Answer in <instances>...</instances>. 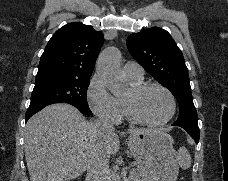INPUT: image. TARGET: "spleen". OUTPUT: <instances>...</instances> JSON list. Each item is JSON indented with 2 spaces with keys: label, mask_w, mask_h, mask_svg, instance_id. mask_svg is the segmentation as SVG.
I'll use <instances>...</instances> for the list:
<instances>
[{
  "label": "spleen",
  "mask_w": 228,
  "mask_h": 181,
  "mask_svg": "<svg viewBox=\"0 0 228 181\" xmlns=\"http://www.w3.org/2000/svg\"><path fill=\"white\" fill-rule=\"evenodd\" d=\"M177 161H179L181 169H189L191 165V155L185 147H180L177 153Z\"/></svg>",
  "instance_id": "3e777b00"
}]
</instances>
